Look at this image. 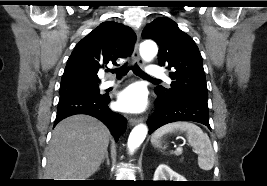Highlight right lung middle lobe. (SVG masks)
I'll return each instance as SVG.
<instances>
[{"label": "right lung middle lobe", "mask_w": 267, "mask_h": 186, "mask_svg": "<svg viewBox=\"0 0 267 186\" xmlns=\"http://www.w3.org/2000/svg\"><path fill=\"white\" fill-rule=\"evenodd\" d=\"M71 91H86L94 94H100L98 84H67L61 85L59 89L60 95Z\"/></svg>", "instance_id": "1"}]
</instances>
